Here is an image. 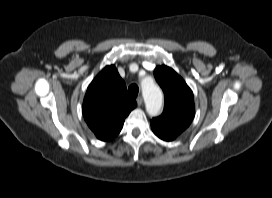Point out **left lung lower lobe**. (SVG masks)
Returning <instances> with one entry per match:
<instances>
[{"label": "left lung lower lobe", "mask_w": 272, "mask_h": 198, "mask_svg": "<svg viewBox=\"0 0 272 198\" xmlns=\"http://www.w3.org/2000/svg\"><path fill=\"white\" fill-rule=\"evenodd\" d=\"M152 130H153V132L155 133V135L158 136V137H159L160 139H162V140H165V141H172V140L175 139V137H172V136H170V135H168V134H165L164 132H161V131H159V130H156V129H153V128H152Z\"/></svg>", "instance_id": "obj_1"}]
</instances>
